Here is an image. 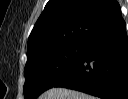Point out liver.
Wrapping results in <instances>:
<instances>
[{"instance_id":"6515ba94","label":"liver","mask_w":128,"mask_h":99,"mask_svg":"<svg viewBox=\"0 0 128 99\" xmlns=\"http://www.w3.org/2000/svg\"><path fill=\"white\" fill-rule=\"evenodd\" d=\"M39 99H96L82 92L65 88H52L42 94Z\"/></svg>"}]
</instances>
